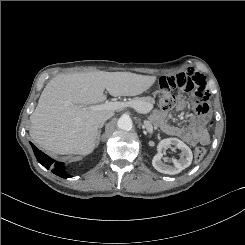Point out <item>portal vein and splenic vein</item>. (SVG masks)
<instances>
[{"label": "portal vein and splenic vein", "mask_w": 245, "mask_h": 245, "mask_svg": "<svg viewBox=\"0 0 245 245\" xmlns=\"http://www.w3.org/2000/svg\"><path fill=\"white\" fill-rule=\"evenodd\" d=\"M126 107H132L134 109H137L138 112L140 113H148L151 109L150 106L139 107L138 105L131 102H112V101H106L104 104L91 106L90 109L92 110L108 109V110L115 111L119 109H124Z\"/></svg>", "instance_id": "18ae733b"}]
</instances>
